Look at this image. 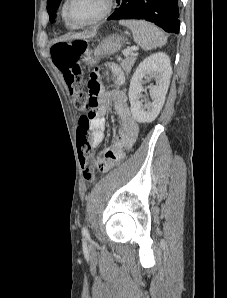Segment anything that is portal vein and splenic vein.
Returning a JSON list of instances; mask_svg holds the SVG:
<instances>
[{
    "label": "portal vein and splenic vein",
    "mask_w": 227,
    "mask_h": 298,
    "mask_svg": "<svg viewBox=\"0 0 227 298\" xmlns=\"http://www.w3.org/2000/svg\"><path fill=\"white\" fill-rule=\"evenodd\" d=\"M137 49L138 47L133 46L131 48L123 50L122 53L125 57H128L134 50H137Z\"/></svg>",
    "instance_id": "portal-vein-and-splenic-vein-1"
}]
</instances>
